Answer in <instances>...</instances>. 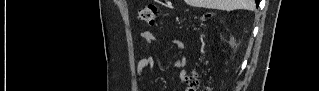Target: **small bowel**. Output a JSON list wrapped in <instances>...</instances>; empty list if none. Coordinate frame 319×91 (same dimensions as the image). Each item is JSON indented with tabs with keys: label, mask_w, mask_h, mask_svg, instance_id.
I'll list each match as a JSON object with an SVG mask.
<instances>
[{
	"label": "small bowel",
	"mask_w": 319,
	"mask_h": 91,
	"mask_svg": "<svg viewBox=\"0 0 319 91\" xmlns=\"http://www.w3.org/2000/svg\"><path fill=\"white\" fill-rule=\"evenodd\" d=\"M142 40L147 45H152L156 41L154 33L150 31H144L141 34ZM171 45L179 50L185 49V43L180 39H173ZM155 60L152 56H147L142 59L137 64L136 72L138 75H143L146 71L154 66ZM187 65V58L181 57L174 61L173 66L179 70L178 77L179 80L184 82L187 78V73L185 67Z\"/></svg>",
	"instance_id": "c3829d8e"
}]
</instances>
